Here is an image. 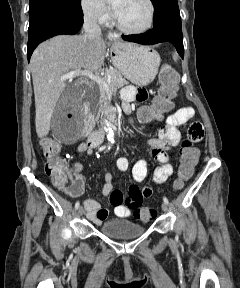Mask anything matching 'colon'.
<instances>
[{"mask_svg":"<svg viewBox=\"0 0 240 288\" xmlns=\"http://www.w3.org/2000/svg\"><path fill=\"white\" fill-rule=\"evenodd\" d=\"M159 92L152 103L140 109L139 116L144 122L160 118L164 113L170 111L173 106V99L176 96L178 87V75L174 68L168 64L161 66L159 71ZM45 162V173L52 184L67 193L79 190L80 186L70 174L66 161L60 156V145L53 139L45 138L41 141ZM198 150L193 143L186 139L180 148L179 176L174 187L180 189L183 183L188 180L194 172L198 162ZM142 198L137 191H130L125 199L128 207L134 209L137 219L147 222L156 217V210L153 208H140Z\"/></svg>","mask_w":240,"mask_h":288,"instance_id":"obj_1","label":"colon"}]
</instances>
